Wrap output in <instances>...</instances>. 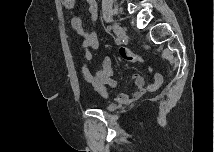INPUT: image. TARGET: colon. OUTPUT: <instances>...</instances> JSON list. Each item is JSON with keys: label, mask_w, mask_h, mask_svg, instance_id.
<instances>
[{"label": "colon", "mask_w": 215, "mask_h": 152, "mask_svg": "<svg viewBox=\"0 0 215 152\" xmlns=\"http://www.w3.org/2000/svg\"><path fill=\"white\" fill-rule=\"evenodd\" d=\"M78 5V2L76 0H65L64 1V6L66 8L67 11L72 12L76 9ZM120 55L130 61H134V62H138V63H142L143 59L134 54L128 47L122 46L120 47Z\"/></svg>", "instance_id": "obj_1"}]
</instances>
